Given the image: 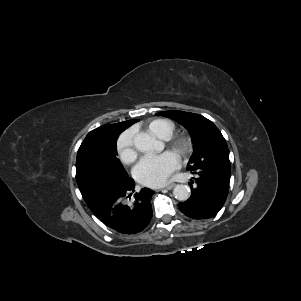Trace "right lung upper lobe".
I'll list each match as a JSON object with an SVG mask.
<instances>
[{
  "label": "right lung upper lobe",
  "mask_w": 301,
  "mask_h": 301,
  "mask_svg": "<svg viewBox=\"0 0 301 301\" xmlns=\"http://www.w3.org/2000/svg\"><path fill=\"white\" fill-rule=\"evenodd\" d=\"M138 120L133 119V120H129L126 122H120V123H116V124H106L103 125L95 130H93L92 132H101L104 134H107L109 136H113V137H118V135L127 127H129L130 125L134 124L135 122H137Z\"/></svg>",
  "instance_id": "cb5924a9"
}]
</instances>
